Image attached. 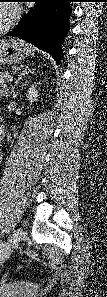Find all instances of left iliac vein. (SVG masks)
<instances>
[{"instance_id": "1", "label": "left iliac vein", "mask_w": 107, "mask_h": 297, "mask_svg": "<svg viewBox=\"0 0 107 297\" xmlns=\"http://www.w3.org/2000/svg\"><path fill=\"white\" fill-rule=\"evenodd\" d=\"M22 234H23L22 229H17V230H15L13 232V234L11 235V237H10L9 241L7 242L5 248L2 251V257L3 256L6 257L7 255H9L12 252V250L14 248L17 247V245H18V243H19V241H20V239L22 237Z\"/></svg>"}]
</instances>
